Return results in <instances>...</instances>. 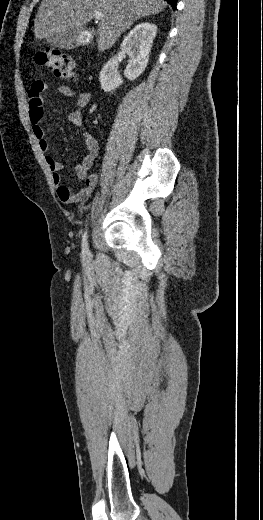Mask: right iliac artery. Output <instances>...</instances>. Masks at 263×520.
<instances>
[{
    "instance_id": "obj_1",
    "label": "right iliac artery",
    "mask_w": 263,
    "mask_h": 520,
    "mask_svg": "<svg viewBox=\"0 0 263 520\" xmlns=\"http://www.w3.org/2000/svg\"><path fill=\"white\" fill-rule=\"evenodd\" d=\"M88 235L87 231L84 232L82 236V253L83 255L88 253V241H87Z\"/></svg>"
}]
</instances>
